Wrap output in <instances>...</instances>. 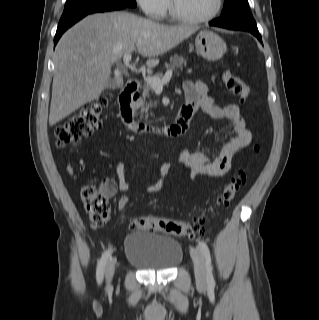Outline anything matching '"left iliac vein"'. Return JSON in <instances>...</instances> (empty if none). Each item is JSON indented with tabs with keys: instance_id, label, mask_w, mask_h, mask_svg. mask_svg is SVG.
<instances>
[{
	"instance_id": "obj_1",
	"label": "left iliac vein",
	"mask_w": 319,
	"mask_h": 320,
	"mask_svg": "<svg viewBox=\"0 0 319 320\" xmlns=\"http://www.w3.org/2000/svg\"><path fill=\"white\" fill-rule=\"evenodd\" d=\"M191 258L194 264L196 282L200 286L206 285L207 275L204 258L197 247L190 248Z\"/></svg>"
}]
</instances>
